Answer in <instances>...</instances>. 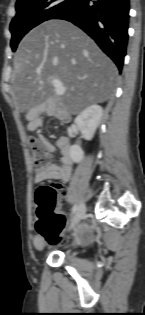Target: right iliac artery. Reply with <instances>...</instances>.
Masks as SVG:
<instances>
[{
    "mask_svg": "<svg viewBox=\"0 0 145 315\" xmlns=\"http://www.w3.org/2000/svg\"><path fill=\"white\" fill-rule=\"evenodd\" d=\"M76 211H77V205H74V206L72 207V213H71V215H74V214L76 213Z\"/></svg>",
    "mask_w": 145,
    "mask_h": 315,
    "instance_id": "1",
    "label": "right iliac artery"
}]
</instances>
